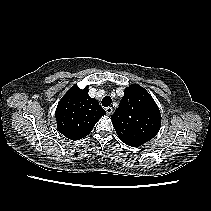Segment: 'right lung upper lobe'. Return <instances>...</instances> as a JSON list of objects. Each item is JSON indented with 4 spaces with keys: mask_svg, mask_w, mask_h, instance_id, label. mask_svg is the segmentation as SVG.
I'll use <instances>...</instances> for the list:
<instances>
[{
    "mask_svg": "<svg viewBox=\"0 0 211 211\" xmlns=\"http://www.w3.org/2000/svg\"><path fill=\"white\" fill-rule=\"evenodd\" d=\"M98 101L88 95V86H72L62 97L56 109L57 129L66 138L79 140L87 136L96 122L105 115Z\"/></svg>",
    "mask_w": 211,
    "mask_h": 211,
    "instance_id": "right-lung-upper-lobe-1",
    "label": "right lung upper lobe"
}]
</instances>
